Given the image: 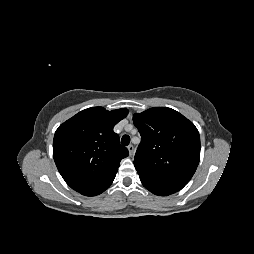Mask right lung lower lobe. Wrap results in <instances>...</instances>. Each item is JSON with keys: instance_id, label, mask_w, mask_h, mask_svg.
<instances>
[{"instance_id": "obj_1", "label": "right lung lower lobe", "mask_w": 254, "mask_h": 254, "mask_svg": "<svg viewBox=\"0 0 254 254\" xmlns=\"http://www.w3.org/2000/svg\"><path fill=\"white\" fill-rule=\"evenodd\" d=\"M115 175L110 176L109 178L100 181L98 183L80 188V189H75L77 192L86 195V196H96L104 192L109 186L112 184Z\"/></svg>"}]
</instances>
